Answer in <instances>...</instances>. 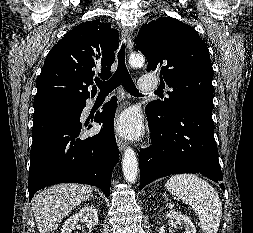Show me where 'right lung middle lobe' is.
Masks as SVG:
<instances>
[{"label":"right lung middle lobe","mask_w":253,"mask_h":233,"mask_svg":"<svg viewBox=\"0 0 253 233\" xmlns=\"http://www.w3.org/2000/svg\"><path fill=\"white\" fill-rule=\"evenodd\" d=\"M80 102L81 101L54 99V100L45 101V102H42V103H39V104H34V108L37 109V108H40L42 106H45V105H48V104H51V103H73V104H78Z\"/></svg>","instance_id":"obj_1"}]
</instances>
